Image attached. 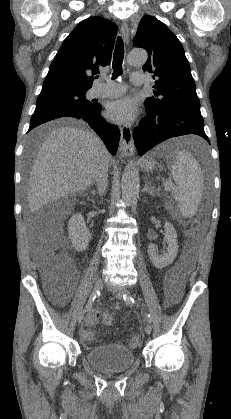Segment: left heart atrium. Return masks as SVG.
<instances>
[{"label":"left heart atrium","mask_w":231,"mask_h":419,"mask_svg":"<svg viewBox=\"0 0 231 419\" xmlns=\"http://www.w3.org/2000/svg\"><path fill=\"white\" fill-rule=\"evenodd\" d=\"M136 115V105L131 98L124 97L111 102L107 107V116L118 123H130Z\"/></svg>","instance_id":"obj_1"}]
</instances>
